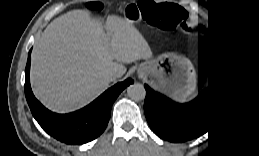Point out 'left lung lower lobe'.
Returning <instances> with one entry per match:
<instances>
[{
  "label": "left lung lower lobe",
  "mask_w": 259,
  "mask_h": 156,
  "mask_svg": "<svg viewBox=\"0 0 259 156\" xmlns=\"http://www.w3.org/2000/svg\"><path fill=\"white\" fill-rule=\"evenodd\" d=\"M224 47V46H223ZM144 111L152 130L162 139L178 143L206 133L222 115L229 92V67L222 56L208 89L188 104H176L147 85Z\"/></svg>",
  "instance_id": "0a47b994"
}]
</instances>
